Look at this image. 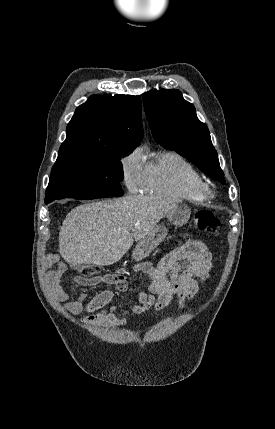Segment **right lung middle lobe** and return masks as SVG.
I'll return each mask as SVG.
<instances>
[{"instance_id": "1", "label": "right lung middle lobe", "mask_w": 275, "mask_h": 429, "mask_svg": "<svg viewBox=\"0 0 275 429\" xmlns=\"http://www.w3.org/2000/svg\"><path fill=\"white\" fill-rule=\"evenodd\" d=\"M129 153L58 156L46 189L45 203L62 198L80 200L124 194L121 157Z\"/></svg>"}]
</instances>
